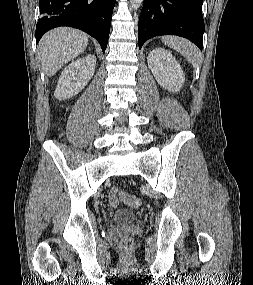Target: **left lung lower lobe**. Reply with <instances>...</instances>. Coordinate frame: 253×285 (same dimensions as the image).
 <instances>
[{"label":"left lung lower lobe","instance_id":"obj_1","mask_svg":"<svg viewBox=\"0 0 253 285\" xmlns=\"http://www.w3.org/2000/svg\"><path fill=\"white\" fill-rule=\"evenodd\" d=\"M203 0H144L138 23L139 49L146 40L160 35H178L203 45Z\"/></svg>","mask_w":253,"mask_h":285}]
</instances>
